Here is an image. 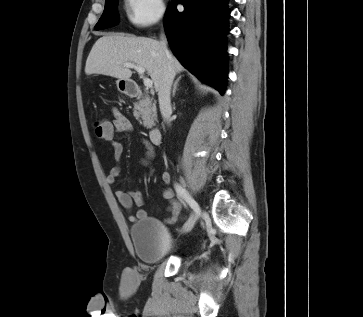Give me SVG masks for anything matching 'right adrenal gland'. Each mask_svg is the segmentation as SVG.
<instances>
[{"mask_svg":"<svg viewBox=\"0 0 363 317\" xmlns=\"http://www.w3.org/2000/svg\"><path fill=\"white\" fill-rule=\"evenodd\" d=\"M182 76H179L173 84L172 97H175V93L177 91V86Z\"/></svg>","mask_w":363,"mask_h":317,"instance_id":"obj_1","label":"right adrenal gland"}]
</instances>
